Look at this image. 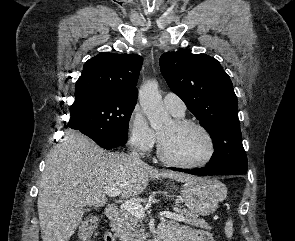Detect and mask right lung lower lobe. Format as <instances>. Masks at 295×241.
Masks as SVG:
<instances>
[{
  "label": "right lung lower lobe",
  "mask_w": 295,
  "mask_h": 241,
  "mask_svg": "<svg viewBox=\"0 0 295 241\" xmlns=\"http://www.w3.org/2000/svg\"><path fill=\"white\" fill-rule=\"evenodd\" d=\"M101 147H103V148H105V149H107V150H110V149L115 148V147H107V146H101Z\"/></svg>",
  "instance_id": "1"
}]
</instances>
